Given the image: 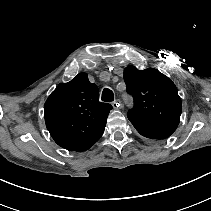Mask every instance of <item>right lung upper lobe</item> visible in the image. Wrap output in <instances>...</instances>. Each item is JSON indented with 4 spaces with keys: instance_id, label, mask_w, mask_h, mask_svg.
<instances>
[{
    "instance_id": "1",
    "label": "right lung upper lobe",
    "mask_w": 211,
    "mask_h": 211,
    "mask_svg": "<svg viewBox=\"0 0 211 211\" xmlns=\"http://www.w3.org/2000/svg\"><path fill=\"white\" fill-rule=\"evenodd\" d=\"M110 104L99 101V91L86 73L60 84L44 105L45 123L54 141L69 151H85L102 136Z\"/></svg>"
}]
</instances>
